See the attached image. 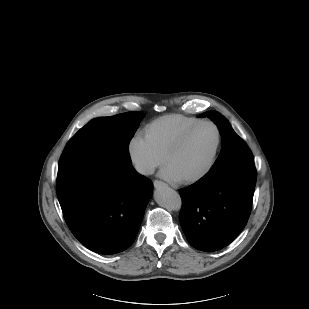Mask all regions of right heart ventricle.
<instances>
[{"label":"right heart ventricle","mask_w":309,"mask_h":309,"mask_svg":"<svg viewBox=\"0 0 309 309\" xmlns=\"http://www.w3.org/2000/svg\"><path fill=\"white\" fill-rule=\"evenodd\" d=\"M200 120L199 118L182 114L164 115L146 126L144 136L153 148L161 156L165 157L177 137Z\"/></svg>","instance_id":"e07e8e85"}]
</instances>
